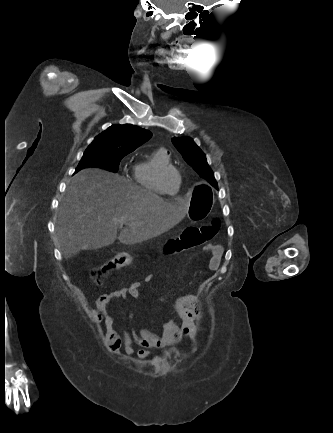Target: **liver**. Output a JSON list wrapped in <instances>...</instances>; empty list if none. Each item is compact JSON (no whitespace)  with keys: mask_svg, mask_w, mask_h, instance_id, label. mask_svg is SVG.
I'll list each match as a JSON object with an SVG mask.
<instances>
[{"mask_svg":"<svg viewBox=\"0 0 333 433\" xmlns=\"http://www.w3.org/2000/svg\"><path fill=\"white\" fill-rule=\"evenodd\" d=\"M187 210L188 201L166 202L118 174L86 168L67 184L55 231L64 257L70 258L113 244L118 229L125 245L157 237L183 220ZM122 216L127 219L119 223Z\"/></svg>","mask_w":333,"mask_h":433,"instance_id":"liver-1","label":"liver"}]
</instances>
